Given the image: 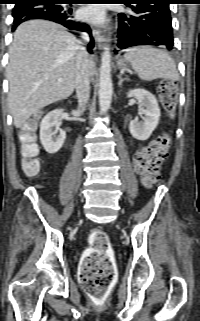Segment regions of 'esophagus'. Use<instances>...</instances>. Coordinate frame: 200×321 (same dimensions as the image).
Instances as JSON below:
<instances>
[{
  "mask_svg": "<svg viewBox=\"0 0 200 321\" xmlns=\"http://www.w3.org/2000/svg\"><path fill=\"white\" fill-rule=\"evenodd\" d=\"M93 35L95 37V41L97 42L99 49H102L105 45V36L103 35L102 31L94 28Z\"/></svg>",
  "mask_w": 200,
  "mask_h": 321,
  "instance_id": "1",
  "label": "esophagus"
}]
</instances>
